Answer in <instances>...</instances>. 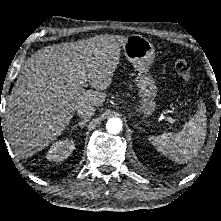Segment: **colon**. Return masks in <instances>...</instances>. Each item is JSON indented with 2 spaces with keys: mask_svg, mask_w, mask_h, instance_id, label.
Returning a JSON list of instances; mask_svg holds the SVG:
<instances>
[{
  "mask_svg": "<svg viewBox=\"0 0 221 221\" xmlns=\"http://www.w3.org/2000/svg\"><path fill=\"white\" fill-rule=\"evenodd\" d=\"M175 69L185 82L189 83L191 81V66L186 59H177L175 62Z\"/></svg>",
  "mask_w": 221,
  "mask_h": 221,
  "instance_id": "1",
  "label": "colon"
}]
</instances>
